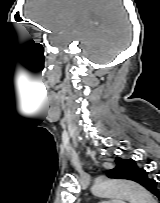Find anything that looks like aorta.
<instances>
[{"label": "aorta", "mask_w": 160, "mask_h": 203, "mask_svg": "<svg viewBox=\"0 0 160 203\" xmlns=\"http://www.w3.org/2000/svg\"><path fill=\"white\" fill-rule=\"evenodd\" d=\"M92 192L102 197H123L130 203H156L145 188L132 181L102 180L94 184Z\"/></svg>", "instance_id": "obj_1"}]
</instances>
